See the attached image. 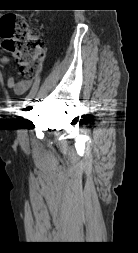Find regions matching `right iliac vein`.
<instances>
[{
	"instance_id": "right-iliac-vein-1",
	"label": "right iliac vein",
	"mask_w": 138,
	"mask_h": 253,
	"mask_svg": "<svg viewBox=\"0 0 138 253\" xmlns=\"http://www.w3.org/2000/svg\"><path fill=\"white\" fill-rule=\"evenodd\" d=\"M33 112V104H29V106L27 107L25 113H24V119H23V126L24 128L20 129V133H19V140L21 142H25L26 140V134H27V127L30 126V120H31V114Z\"/></svg>"
}]
</instances>
